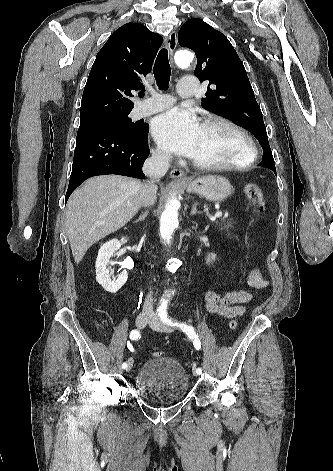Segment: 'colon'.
<instances>
[{
    "label": "colon",
    "mask_w": 333,
    "mask_h": 471,
    "mask_svg": "<svg viewBox=\"0 0 333 471\" xmlns=\"http://www.w3.org/2000/svg\"><path fill=\"white\" fill-rule=\"evenodd\" d=\"M244 194L247 199L255 206L258 213L263 215L265 212V199L261 188L254 184L248 183L244 186ZM228 327L230 330H235L237 328V322L235 320H231L228 323ZM154 357H161L163 354L162 352L156 351L152 354Z\"/></svg>",
    "instance_id": "colon-1"
}]
</instances>
